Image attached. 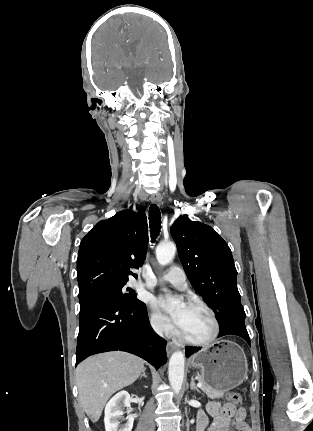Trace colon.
Instances as JSON below:
<instances>
[{"mask_svg": "<svg viewBox=\"0 0 313 431\" xmlns=\"http://www.w3.org/2000/svg\"><path fill=\"white\" fill-rule=\"evenodd\" d=\"M227 403L225 405V412L230 413L234 408L239 406L242 402V397L240 393L236 391H231L227 394Z\"/></svg>", "mask_w": 313, "mask_h": 431, "instance_id": "colon-1", "label": "colon"}]
</instances>
